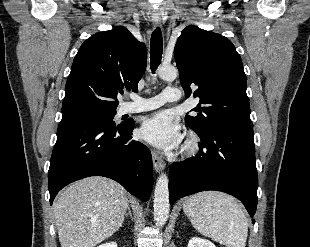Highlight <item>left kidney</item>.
Instances as JSON below:
<instances>
[{
	"label": "left kidney",
	"mask_w": 310,
	"mask_h": 247,
	"mask_svg": "<svg viewBox=\"0 0 310 247\" xmlns=\"http://www.w3.org/2000/svg\"><path fill=\"white\" fill-rule=\"evenodd\" d=\"M187 247H216V246L209 240L195 237L189 240Z\"/></svg>",
	"instance_id": "obj_1"
}]
</instances>
